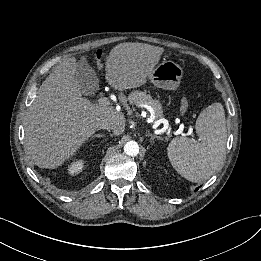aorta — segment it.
<instances>
[{
    "label": "aorta",
    "instance_id": "762f6f07",
    "mask_svg": "<svg viewBox=\"0 0 261 261\" xmlns=\"http://www.w3.org/2000/svg\"><path fill=\"white\" fill-rule=\"evenodd\" d=\"M124 152L128 156H136L139 153V145L137 142L131 140L124 145Z\"/></svg>",
    "mask_w": 261,
    "mask_h": 261
}]
</instances>
